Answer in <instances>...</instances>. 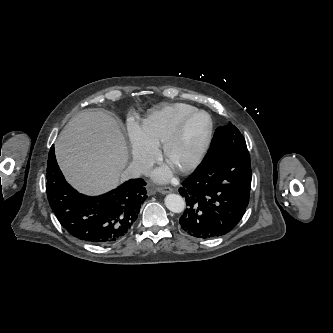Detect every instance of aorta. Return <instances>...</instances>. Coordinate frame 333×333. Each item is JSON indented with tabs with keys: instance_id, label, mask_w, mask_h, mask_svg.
<instances>
[{
	"instance_id": "aorta-1",
	"label": "aorta",
	"mask_w": 333,
	"mask_h": 333,
	"mask_svg": "<svg viewBox=\"0 0 333 333\" xmlns=\"http://www.w3.org/2000/svg\"><path fill=\"white\" fill-rule=\"evenodd\" d=\"M165 205L174 213H181L185 209L184 199L177 194H168L165 198Z\"/></svg>"
}]
</instances>
